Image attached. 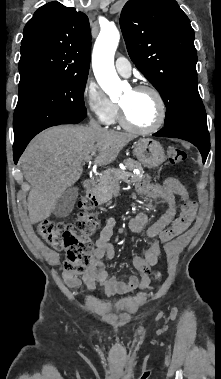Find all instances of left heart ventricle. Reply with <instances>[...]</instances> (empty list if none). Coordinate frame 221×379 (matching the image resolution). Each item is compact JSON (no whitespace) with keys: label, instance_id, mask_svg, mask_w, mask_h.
I'll return each instance as SVG.
<instances>
[{"label":"left heart ventricle","instance_id":"b2bd125f","mask_svg":"<svg viewBox=\"0 0 221 379\" xmlns=\"http://www.w3.org/2000/svg\"><path fill=\"white\" fill-rule=\"evenodd\" d=\"M119 104L124 108L129 121L139 127L152 125L158 114L157 102L149 92L129 90Z\"/></svg>","mask_w":221,"mask_h":379}]
</instances>
